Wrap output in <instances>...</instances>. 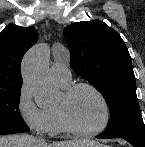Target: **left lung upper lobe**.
I'll use <instances>...</instances> for the list:
<instances>
[{
    "mask_svg": "<svg viewBox=\"0 0 145 147\" xmlns=\"http://www.w3.org/2000/svg\"><path fill=\"white\" fill-rule=\"evenodd\" d=\"M64 36L70 67L98 89L109 107L111 117L102 134L145 140L131 57L120 35L93 20L67 26Z\"/></svg>",
    "mask_w": 145,
    "mask_h": 147,
    "instance_id": "5c2ea615",
    "label": "left lung upper lobe"
}]
</instances>
